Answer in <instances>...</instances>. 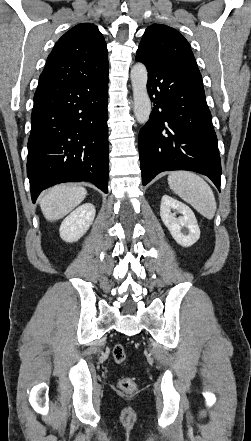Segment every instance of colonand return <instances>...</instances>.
<instances>
[{
	"instance_id": "1",
	"label": "colon",
	"mask_w": 251,
	"mask_h": 441,
	"mask_svg": "<svg viewBox=\"0 0 251 441\" xmlns=\"http://www.w3.org/2000/svg\"><path fill=\"white\" fill-rule=\"evenodd\" d=\"M112 357L117 364H123L126 361V352L121 344H116L112 347ZM118 385L125 392H132L136 389L134 379L129 376L121 378Z\"/></svg>"
}]
</instances>
